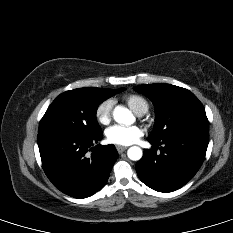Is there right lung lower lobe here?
Wrapping results in <instances>:
<instances>
[{
    "label": "right lung lower lobe",
    "mask_w": 233,
    "mask_h": 233,
    "mask_svg": "<svg viewBox=\"0 0 233 233\" xmlns=\"http://www.w3.org/2000/svg\"><path fill=\"white\" fill-rule=\"evenodd\" d=\"M102 137V133L94 136L66 131L38 133L42 167L56 188L71 197L86 198L106 184L118 153L114 145L99 144L93 148Z\"/></svg>",
    "instance_id": "98d812e1"
}]
</instances>
